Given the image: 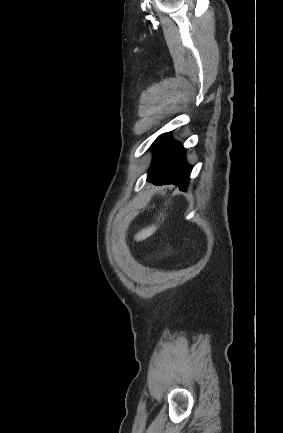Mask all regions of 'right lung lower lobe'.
Wrapping results in <instances>:
<instances>
[{
    "label": "right lung lower lobe",
    "instance_id": "obj_1",
    "mask_svg": "<svg viewBox=\"0 0 283 433\" xmlns=\"http://www.w3.org/2000/svg\"><path fill=\"white\" fill-rule=\"evenodd\" d=\"M155 155L149 170L148 181L155 184H175L186 191L191 166L186 163L185 149L171 140L170 133L160 136L152 145Z\"/></svg>",
    "mask_w": 283,
    "mask_h": 433
}]
</instances>
